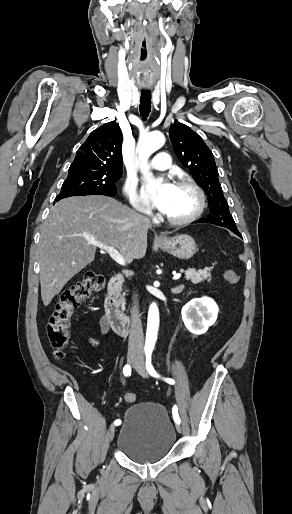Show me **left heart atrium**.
Wrapping results in <instances>:
<instances>
[{
    "instance_id": "obj_1",
    "label": "left heart atrium",
    "mask_w": 292,
    "mask_h": 514,
    "mask_svg": "<svg viewBox=\"0 0 292 514\" xmlns=\"http://www.w3.org/2000/svg\"><path fill=\"white\" fill-rule=\"evenodd\" d=\"M176 185L169 180H164L158 185L147 184L144 186L143 193L149 205L153 208L165 211L168 203L173 197Z\"/></svg>"
}]
</instances>
